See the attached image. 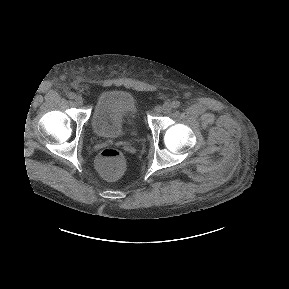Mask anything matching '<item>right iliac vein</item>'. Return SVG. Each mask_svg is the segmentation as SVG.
Returning a JSON list of instances; mask_svg holds the SVG:
<instances>
[{"mask_svg": "<svg viewBox=\"0 0 289 289\" xmlns=\"http://www.w3.org/2000/svg\"><path fill=\"white\" fill-rule=\"evenodd\" d=\"M75 103L77 105H83L84 100H83V98L81 96L78 95V96L75 97Z\"/></svg>", "mask_w": 289, "mask_h": 289, "instance_id": "1", "label": "right iliac vein"}]
</instances>
